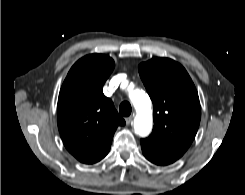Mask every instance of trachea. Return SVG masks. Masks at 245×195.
I'll return each instance as SVG.
<instances>
[{"instance_id": "3493384b", "label": "trachea", "mask_w": 245, "mask_h": 195, "mask_svg": "<svg viewBox=\"0 0 245 195\" xmlns=\"http://www.w3.org/2000/svg\"><path fill=\"white\" fill-rule=\"evenodd\" d=\"M131 110V105L127 101L122 102L119 106V113L124 117L129 116L131 114Z\"/></svg>"}]
</instances>
